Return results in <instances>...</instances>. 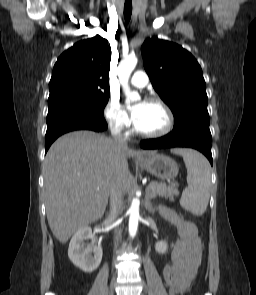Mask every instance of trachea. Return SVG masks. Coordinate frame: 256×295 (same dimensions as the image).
Listing matches in <instances>:
<instances>
[{"mask_svg": "<svg viewBox=\"0 0 256 295\" xmlns=\"http://www.w3.org/2000/svg\"><path fill=\"white\" fill-rule=\"evenodd\" d=\"M132 14V2L131 0H126L124 4V18L126 22H129Z\"/></svg>", "mask_w": 256, "mask_h": 295, "instance_id": "3493384b", "label": "trachea"}]
</instances>
